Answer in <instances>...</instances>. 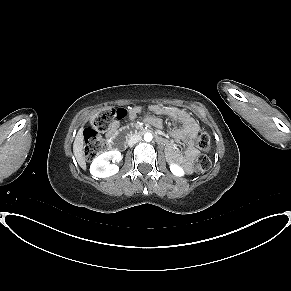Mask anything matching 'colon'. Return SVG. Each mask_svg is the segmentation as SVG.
I'll use <instances>...</instances> for the list:
<instances>
[{"label":"colon","instance_id":"1","mask_svg":"<svg viewBox=\"0 0 291 291\" xmlns=\"http://www.w3.org/2000/svg\"><path fill=\"white\" fill-rule=\"evenodd\" d=\"M126 115L125 108H108L92 117L89 126L84 131V153L87 160H93L106 150V143L102 139L101 133L107 132L115 120L122 119ZM194 145L202 152L194 163V169L196 172H205L211 165L209 157L205 154L211 148L208 132H199L194 140Z\"/></svg>","mask_w":291,"mask_h":291}]
</instances>
